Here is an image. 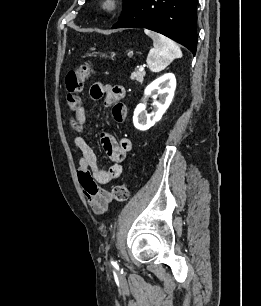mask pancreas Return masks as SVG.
I'll use <instances>...</instances> for the list:
<instances>
[{"label": "pancreas", "instance_id": "cf45deb5", "mask_svg": "<svg viewBox=\"0 0 261 306\" xmlns=\"http://www.w3.org/2000/svg\"><path fill=\"white\" fill-rule=\"evenodd\" d=\"M145 74H146L145 71H142V72H140V71H135V72H133V73L131 74V79H132V80H136V81H138L139 83H142Z\"/></svg>", "mask_w": 261, "mask_h": 306}]
</instances>
